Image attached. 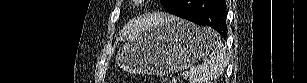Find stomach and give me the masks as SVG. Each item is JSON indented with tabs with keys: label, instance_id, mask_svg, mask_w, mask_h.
<instances>
[{
	"label": "stomach",
	"instance_id": "0dacf381",
	"mask_svg": "<svg viewBox=\"0 0 307 83\" xmlns=\"http://www.w3.org/2000/svg\"><path fill=\"white\" fill-rule=\"evenodd\" d=\"M207 31L179 18L156 23L122 46L116 63L130 73L165 75L182 71L212 48Z\"/></svg>",
	"mask_w": 307,
	"mask_h": 83
}]
</instances>
